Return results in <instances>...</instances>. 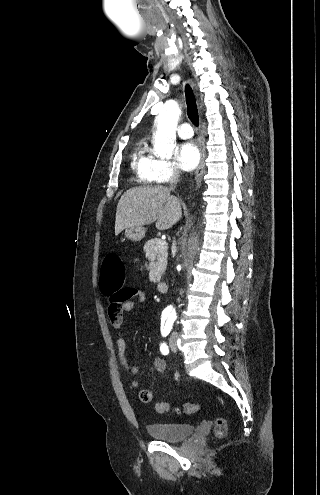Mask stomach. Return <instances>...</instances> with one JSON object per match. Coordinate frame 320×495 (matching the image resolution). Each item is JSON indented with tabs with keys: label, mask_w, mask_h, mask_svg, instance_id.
<instances>
[{
	"label": "stomach",
	"mask_w": 320,
	"mask_h": 495,
	"mask_svg": "<svg viewBox=\"0 0 320 495\" xmlns=\"http://www.w3.org/2000/svg\"><path fill=\"white\" fill-rule=\"evenodd\" d=\"M145 232L142 226H131L125 229V236L131 241H140L145 236Z\"/></svg>",
	"instance_id": "0dacf381"
}]
</instances>
